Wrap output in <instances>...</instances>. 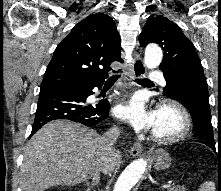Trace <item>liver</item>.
<instances>
[{"instance_id": "1", "label": "liver", "mask_w": 221, "mask_h": 191, "mask_svg": "<svg viewBox=\"0 0 221 191\" xmlns=\"http://www.w3.org/2000/svg\"><path fill=\"white\" fill-rule=\"evenodd\" d=\"M94 130L67 120L45 124L28 142L21 165L23 191L77 185L100 170L104 145ZM114 156L105 174L111 172Z\"/></svg>"}]
</instances>
